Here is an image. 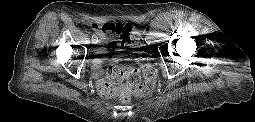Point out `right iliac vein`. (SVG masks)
<instances>
[{"label": "right iliac vein", "instance_id": "63e3f726", "mask_svg": "<svg viewBox=\"0 0 255 122\" xmlns=\"http://www.w3.org/2000/svg\"><path fill=\"white\" fill-rule=\"evenodd\" d=\"M97 43H98V40L97 41H92V44H94V45L97 44Z\"/></svg>", "mask_w": 255, "mask_h": 122}]
</instances>
